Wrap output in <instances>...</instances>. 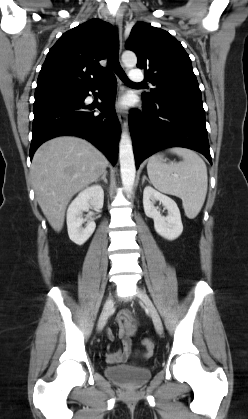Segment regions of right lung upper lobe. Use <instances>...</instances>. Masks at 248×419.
<instances>
[{"mask_svg":"<svg viewBox=\"0 0 248 419\" xmlns=\"http://www.w3.org/2000/svg\"><path fill=\"white\" fill-rule=\"evenodd\" d=\"M111 24L92 19L64 33L49 50L39 73L35 96L79 92L101 82L106 69Z\"/></svg>","mask_w":248,"mask_h":419,"instance_id":"1","label":"right lung upper lobe"}]
</instances>
